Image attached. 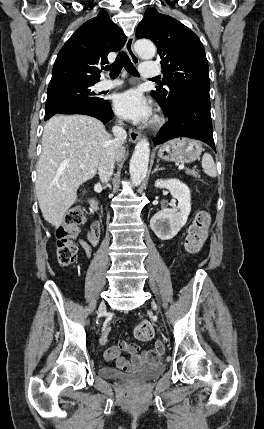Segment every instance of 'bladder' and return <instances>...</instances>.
Listing matches in <instances>:
<instances>
[{
  "instance_id": "bladder-1",
  "label": "bladder",
  "mask_w": 264,
  "mask_h": 429,
  "mask_svg": "<svg viewBox=\"0 0 264 429\" xmlns=\"http://www.w3.org/2000/svg\"><path fill=\"white\" fill-rule=\"evenodd\" d=\"M165 370L161 360L130 372H119L109 367L100 369V375L105 378L118 379L133 384H141L159 377Z\"/></svg>"
}]
</instances>
